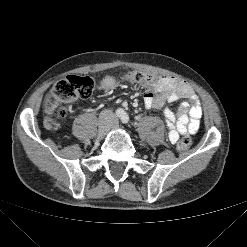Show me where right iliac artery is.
<instances>
[{
	"mask_svg": "<svg viewBox=\"0 0 247 247\" xmlns=\"http://www.w3.org/2000/svg\"><path fill=\"white\" fill-rule=\"evenodd\" d=\"M116 114H117L118 117H121L124 113H123V110L122 109H118L116 111Z\"/></svg>",
	"mask_w": 247,
	"mask_h": 247,
	"instance_id": "82829eb1",
	"label": "right iliac artery"
}]
</instances>
